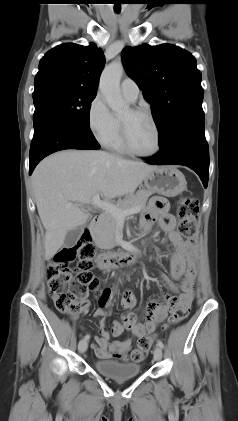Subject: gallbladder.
<instances>
[{"mask_svg": "<svg viewBox=\"0 0 238 421\" xmlns=\"http://www.w3.org/2000/svg\"><path fill=\"white\" fill-rule=\"evenodd\" d=\"M83 232V226H79L66 234L64 245L68 248L73 247Z\"/></svg>", "mask_w": 238, "mask_h": 421, "instance_id": "obj_1", "label": "gallbladder"}]
</instances>
